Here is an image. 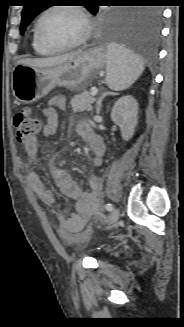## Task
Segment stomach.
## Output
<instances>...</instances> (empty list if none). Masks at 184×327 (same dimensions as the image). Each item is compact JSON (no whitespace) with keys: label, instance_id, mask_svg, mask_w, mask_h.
Here are the masks:
<instances>
[{"label":"stomach","instance_id":"obj_1","mask_svg":"<svg viewBox=\"0 0 184 327\" xmlns=\"http://www.w3.org/2000/svg\"><path fill=\"white\" fill-rule=\"evenodd\" d=\"M106 63L107 49L104 45H97L50 68L17 64L12 73L13 95L18 102L30 104L46 96L55 86L78 90L97 76Z\"/></svg>","mask_w":184,"mask_h":327}]
</instances>
